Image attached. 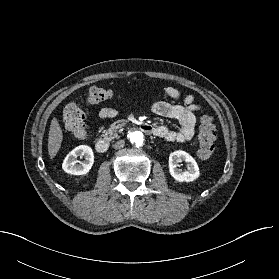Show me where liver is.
<instances>
[{
  "mask_svg": "<svg viewBox=\"0 0 279 279\" xmlns=\"http://www.w3.org/2000/svg\"><path fill=\"white\" fill-rule=\"evenodd\" d=\"M63 140L62 129L56 118L51 121L49 134H48V154L50 159H53L58 153Z\"/></svg>",
  "mask_w": 279,
  "mask_h": 279,
  "instance_id": "liver-1",
  "label": "liver"
}]
</instances>
